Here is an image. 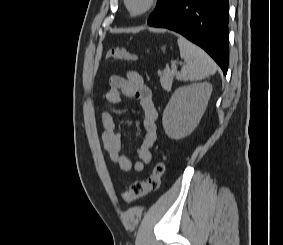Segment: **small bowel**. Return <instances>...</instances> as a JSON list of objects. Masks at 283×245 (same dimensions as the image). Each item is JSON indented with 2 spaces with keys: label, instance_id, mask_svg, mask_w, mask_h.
Returning <instances> with one entry per match:
<instances>
[{
  "label": "small bowel",
  "instance_id": "obj_1",
  "mask_svg": "<svg viewBox=\"0 0 283 245\" xmlns=\"http://www.w3.org/2000/svg\"><path fill=\"white\" fill-rule=\"evenodd\" d=\"M122 96L138 100L142 109L144 136L137 150V159L132 161L121 153L122 135L117 130L114 115L110 112H104L101 115L103 126L102 143L110 161L116 167L124 172H130L131 170L140 172L152 158L151 149L157 141L158 112L150 88L135 71H129L126 75H113L110 77L109 90L106 93L108 104L116 106L120 103Z\"/></svg>",
  "mask_w": 283,
  "mask_h": 245
}]
</instances>
